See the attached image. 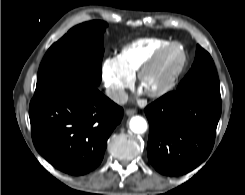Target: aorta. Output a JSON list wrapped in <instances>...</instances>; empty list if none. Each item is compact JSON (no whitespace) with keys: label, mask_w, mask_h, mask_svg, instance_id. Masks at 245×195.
Masks as SVG:
<instances>
[{"label":"aorta","mask_w":245,"mask_h":195,"mask_svg":"<svg viewBox=\"0 0 245 195\" xmlns=\"http://www.w3.org/2000/svg\"><path fill=\"white\" fill-rule=\"evenodd\" d=\"M130 129L133 133L142 134L147 130V122L141 116H133L129 122Z\"/></svg>","instance_id":"aorta-1"}]
</instances>
